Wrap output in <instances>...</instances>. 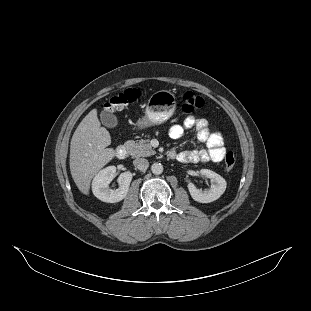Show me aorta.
Returning a JSON list of instances; mask_svg holds the SVG:
<instances>
[{
	"label": "aorta",
	"instance_id": "obj_1",
	"mask_svg": "<svg viewBox=\"0 0 311 311\" xmlns=\"http://www.w3.org/2000/svg\"><path fill=\"white\" fill-rule=\"evenodd\" d=\"M151 171L155 175H159L163 172V165L161 163H153L151 166Z\"/></svg>",
	"mask_w": 311,
	"mask_h": 311
}]
</instances>
